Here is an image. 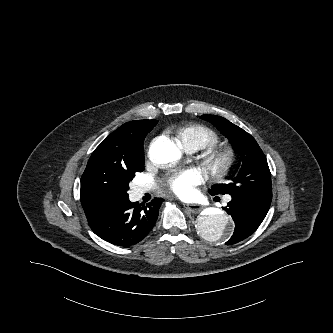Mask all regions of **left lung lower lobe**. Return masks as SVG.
Instances as JSON below:
<instances>
[{
  "mask_svg": "<svg viewBox=\"0 0 333 333\" xmlns=\"http://www.w3.org/2000/svg\"><path fill=\"white\" fill-rule=\"evenodd\" d=\"M270 204L256 200L232 198L224 207L235 222V230L227 245L235 244L250 236L264 220Z\"/></svg>",
  "mask_w": 333,
  "mask_h": 333,
  "instance_id": "1",
  "label": "left lung lower lobe"
}]
</instances>
